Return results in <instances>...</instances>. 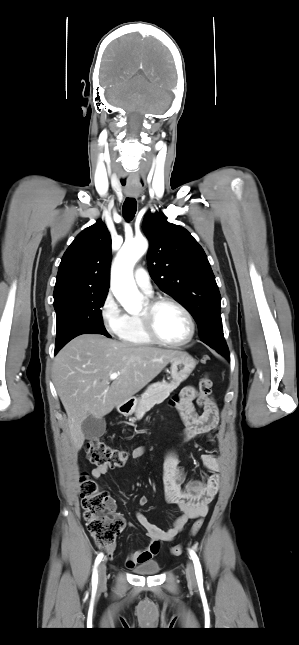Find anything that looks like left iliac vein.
I'll list each match as a JSON object with an SVG mask.
<instances>
[{
    "mask_svg": "<svg viewBox=\"0 0 299 645\" xmlns=\"http://www.w3.org/2000/svg\"><path fill=\"white\" fill-rule=\"evenodd\" d=\"M185 575H186V578H187L188 582H190L191 584L196 583L194 566H193V563L191 561H189L187 563V565H186Z\"/></svg>",
    "mask_w": 299,
    "mask_h": 645,
    "instance_id": "1",
    "label": "left iliac vein"
}]
</instances>
